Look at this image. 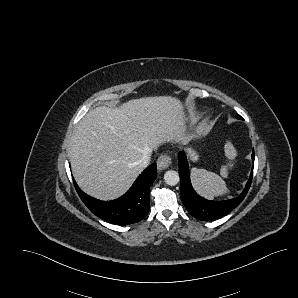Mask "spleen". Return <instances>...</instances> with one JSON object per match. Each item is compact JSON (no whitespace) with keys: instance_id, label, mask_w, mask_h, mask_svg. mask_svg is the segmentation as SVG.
Masks as SVG:
<instances>
[{"instance_id":"spleen-1","label":"spleen","mask_w":298,"mask_h":298,"mask_svg":"<svg viewBox=\"0 0 298 298\" xmlns=\"http://www.w3.org/2000/svg\"><path fill=\"white\" fill-rule=\"evenodd\" d=\"M223 150L226 158L220 165V175L196 167L190 168V181L194 191L209 201L231 194L224 179H228L231 171L235 170L239 152L231 137L225 139Z\"/></svg>"}]
</instances>
